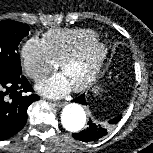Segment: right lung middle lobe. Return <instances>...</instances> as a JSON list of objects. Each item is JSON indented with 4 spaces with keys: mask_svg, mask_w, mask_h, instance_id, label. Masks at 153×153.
Listing matches in <instances>:
<instances>
[{
    "mask_svg": "<svg viewBox=\"0 0 153 153\" xmlns=\"http://www.w3.org/2000/svg\"><path fill=\"white\" fill-rule=\"evenodd\" d=\"M29 30L27 24L11 20L0 21V69L21 74L18 45Z\"/></svg>",
    "mask_w": 153,
    "mask_h": 153,
    "instance_id": "obj_1",
    "label": "right lung middle lobe"
}]
</instances>
